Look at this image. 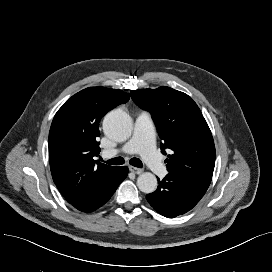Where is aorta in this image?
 Here are the masks:
<instances>
[{"label": "aorta", "mask_w": 272, "mask_h": 272, "mask_svg": "<svg viewBox=\"0 0 272 272\" xmlns=\"http://www.w3.org/2000/svg\"><path fill=\"white\" fill-rule=\"evenodd\" d=\"M104 133L112 140L125 141L132 133V121L130 116L121 111L109 112L103 120ZM137 186L144 193H152L157 188V178L150 172H145L137 178Z\"/></svg>", "instance_id": "762f6f07"}]
</instances>
